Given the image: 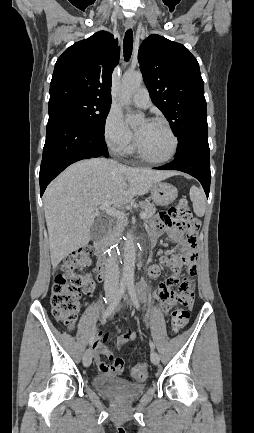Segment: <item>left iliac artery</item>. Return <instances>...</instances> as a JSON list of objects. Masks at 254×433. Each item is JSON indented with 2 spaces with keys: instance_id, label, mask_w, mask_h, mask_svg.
I'll return each mask as SVG.
<instances>
[{
  "instance_id": "44dca946",
  "label": "left iliac artery",
  "mask_w": 254,
  "mask_h": 433,
  "mask_svg": "<svg viewBox=\"0 0 254 433\" xmlns=\"http://www.w3.org/2000/svg\"><path fill=\"white\" fill-rule=\"evenodd\" d=\"M127 287H128V293H129L134 305L136 306L137 309H139L140 304H139L138 296H137L136 291H135L134 281L133 280L129 281L127 283ZM149 344H150L151 349L154 350L155 349L154 343L150 340Z\"/></svg>"
}]
</instances>
